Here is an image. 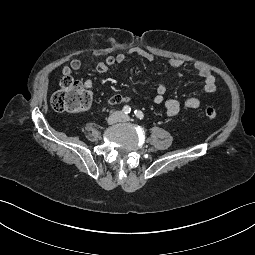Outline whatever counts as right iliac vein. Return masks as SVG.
Masks as SVG:
<instances>
[{
	"label": "right iliac vein",
	"instance_id": "63e3f726",
	"mask_svg": "<svg viewBox=\"0 0 255 255\" xmlns=\"http://www.w3.org/2000/svg\"><path fill=\"white\" fill-rule=\"evenodd\" d=\"M121 117H122V116H121L120 114L114 113V114H112V115H110V116L108 117L107 123H108L109 125H113V124L117 123L118 121H120V120H121Z\"/></svg>",
	"mask_w": 255,
	"mask_h": 255
}]
</instances>
